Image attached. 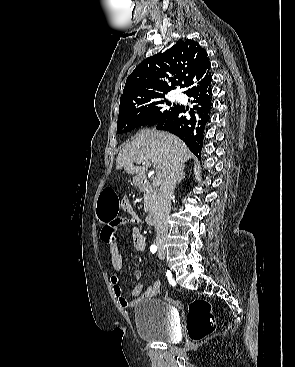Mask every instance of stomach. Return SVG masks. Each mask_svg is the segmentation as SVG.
<instances>
[{"label":"stomach","instance_id":"stomach-1","mask_svg":"<svg viewBox=\"0 0 295 367\" xmlns=\"http://www.w3.org/2000/svg\"><path fill=\"white\" fill-rule=\"evenodd\" d=\"M133 182H134V184L136 185V186H138V187H140L141 186V184H142V179L140 178V177H134L133 178Z\"/></svg>","mask_w":295,"mask_h":367}]
</instances>
